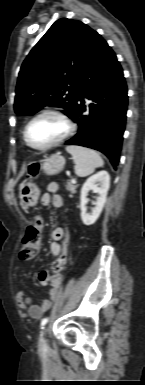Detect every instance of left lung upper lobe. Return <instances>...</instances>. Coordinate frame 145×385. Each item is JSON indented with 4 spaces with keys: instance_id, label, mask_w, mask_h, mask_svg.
Listing matches in <instances>:
<instances>
[{
    "instance_id": "5c2ea615",
    "label": "left lung upper lobe",
    "mask_w": 145,
    "mask_h": 385,
    "mask_svg": "<svg viewBox=\"0 0 145 385\" xmlns=\"http://www.w3.org/2000/svg\"><path fill=\"white\" fill-rule=\"evenodd\" d=\"M97 34L86 24L57 20L33 47L19 72L14 110L32 115L44 106L62 107L73 117L79 81Z\"/></svg>"
}]
</instances>
